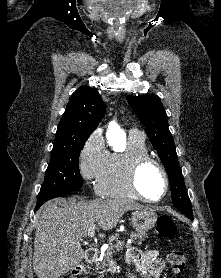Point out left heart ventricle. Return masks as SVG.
Here are the masks:
<instances>
[{
	"label": "left heart ventricle",
	"mask_w": 221,
	"mask_h": 278,
	"mask_svg": "<svg viewBox=\"0 0 221 278\" xmlns=\"http://www.w3.org/2000/svg\"><path fill=\"white\" fill-rule=\"evenodd\" d=\"M139 185L144 195L150 199L159 198L165 188L161 172L152 164H148L142 169L139 176Z\"/></svg>",
	"instance_id": "1"
}]
</instances>
